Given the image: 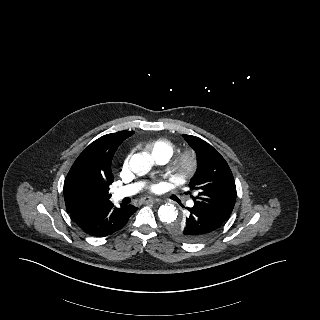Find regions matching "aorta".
<instances>
[{
  "label": "aorta",
  "mask_w": 320,
  "mask_h": 320,
  "mask_svg": "<svg viewBox=\"0 0 320 320\" xmlns=\"http://www.w3.org/2000/svg\"><path fill=\"white\" fill-rule=\"evenodd\" d=\"M130 169L138 176H143L151 170V163L142 154H134L130 159ZM178 211L174 205L165 204L160 206L158 210L159 219L166 224L176 220Z\"/></svg>",
  "instance_id": "obj_1"
}]
</instances>
